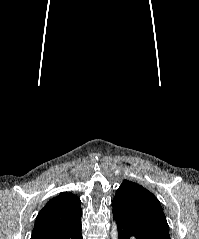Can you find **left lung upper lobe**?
<instances>
[{
	"label": "left lung upper lobe",
	"instance_id": "1",
	"mask_svg": "<svg viewBox=\"0 0 199 239\" xmlns=\"http://www.w3.org/2000/svg\"><path fill=\"white\" fill-rule=\"evenodd\" d=\"M113 214L151 239H170L158 199L141 185L124 180L112 201Z\"/></svg>",
	"mask_w": 199,
	"mask_h": 239
}]
</instances>
